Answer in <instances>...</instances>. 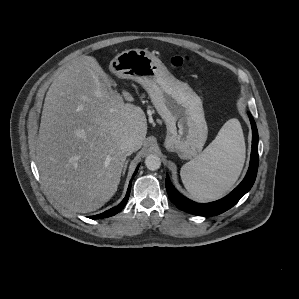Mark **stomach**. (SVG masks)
Instances as JSON below:
<instances>
[{
  "label": "stomach",
  "mask_w": 299,
  "mask_h": 299,
  "mask_svg": "<svg viewBox=\"0 0 299 299\" xmlns=\"http://www.w3.org/2000/svg\"><path fill=\"white\" fill-rule=\"evenodd\" d=\"M118 77L132 79L149 94L152 104L165 121L164 146L182 159L200 154L208 135L200 97L184 82L177 80L151 52L129 49L110 62Z\"/></svg>",
  "instance_id": "stomach-1"
}]
</instances>
